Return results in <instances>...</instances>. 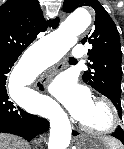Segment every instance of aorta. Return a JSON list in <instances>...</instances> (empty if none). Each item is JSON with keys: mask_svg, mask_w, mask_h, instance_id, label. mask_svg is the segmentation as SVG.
Listing matches in <instances>:
<instances>
[{"mask_svg": "<svg viewBox=\"0 0 124 149\" xmlns=\"http://www.w3.org/2000/svg\"><path fill=\"white\" fill-rule=\"evenodd\" d=\"M91 24V15L85 9H78L70 14L64 22L52 33L43 38L25 61H21L14 69L11 76L13 80L20 79L25 84L24 77L31 72L29 61L35 60L46 50L57 51L65 54L77 41V35ZM46 116L50 120V137L48 149H67L71 140V125L67 114L53 100L48 101Z\"/></svg>", "mask_w": 124, "mask_h": 149, "instance_id": "762f6f07", "label": "aorta"}]
</instances>
